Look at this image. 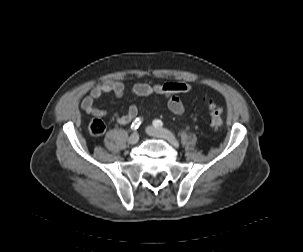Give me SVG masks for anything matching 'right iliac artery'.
<instances>
[{
  "mask_svg": "<svg viewBox=\"0 0 303 252\" xmlns=\"http://www.w3.org/2000/svg\"><path fill=\"white\" fill-rule=\"evenodd\" d=\"M141 124V119L140 118H137L135 121H133V123L131 124V130H136L138 129V127L140 126Z\"/></svg>",
  "mask_w": 303,
  "mask_h": 252,
  "instance_id": "82829eb1",
  "label": "right iliac artery"
}]
</instances>
